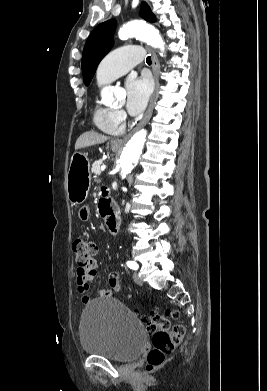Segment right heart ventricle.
<instances>
[{"label":"right heart ventricle","mask_w":267,"mask_h":391,"mask_svg":"<svg viewBox=\"0 0 267 391\" xmlns=\"http://www.w3.org/2000/svg\"><path fill=\"white\" fill-rule=\"evenodd\" d=\"M93 122L98 129L109 135H119L124 130V125L118 117V113L100 103L95 104Z\"/></svg>","instance_id":"obj_1"}]
</instances>
